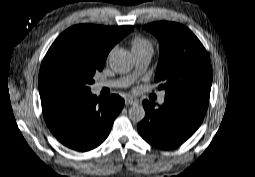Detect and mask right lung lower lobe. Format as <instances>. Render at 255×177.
I'll return each mask as SVG.
<instances>
[{"instance_id":"1","label":"right lung lower lobe","mask_w":255,"mask_h":177,"mask_svg":"<svg viewBox=\"0 0 255 177\" xmlns=\"http://www.w3.org/2000/svg\"><path fill=\"white\" fill-rule=\"evenodd\" d=\"M47 126L65 146L88 151L108 136L114 119L124 106L118 95L97 99L91 91L41 98Z\"/></svg>"}]
</instances>
